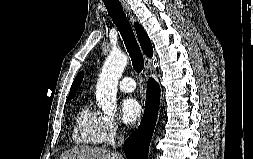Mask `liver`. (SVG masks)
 <instances>
[{"mask_svg":"<svg viewBox=\"0 0 253 159\" xmlns=\"http://www.w3.org/2000/svg\"><path fill=\"white\" fill-rule=\"evenodd\" d=\"M60 159H123L114 151L89 146H78L63 153Z\"/></svg>","mask_w":253,"mask_h":159,"instance_id":"1","label":"liver"}]
</instances>
